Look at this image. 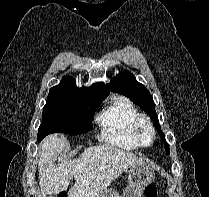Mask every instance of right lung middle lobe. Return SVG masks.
<instances>
[{"mask_svg":"<svg viewBox=\"0 0 209 197\" xmlns=\"http://www.w3.org/2000/svg\"><path fill=\"white\" fill-rule=\"evenodd\" d=\"M102 101L80 89L51 88L43 108L38 141L50 133L79 135L88 132L91 129V119Z\"/></svg>","mask_w":209,"mask_h":197,"instance_id":"obj_1","label":"right lung middle lobe"}]
</instances>
